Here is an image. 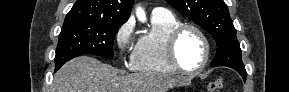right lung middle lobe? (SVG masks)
Here are the masks:
<instances>
[{
    "label": "right lung middle lobe",
    "mask_w": 289,
    "mask_h": 92,
    "mask_svg": "<svg viewBox=\"0 0 289 92\" xmlns=\"http://www.w3.org/2000/svg\"><path fill=\"white\" fill-rule=\"evenodd\" d=\"M123 23L67 21L59 35L55 71L68 60L83 54L113 58V42Z\"/></svg>",
    "instance_id": "1"
}]
</instances>
